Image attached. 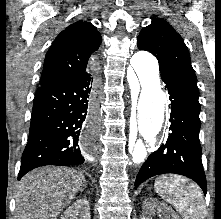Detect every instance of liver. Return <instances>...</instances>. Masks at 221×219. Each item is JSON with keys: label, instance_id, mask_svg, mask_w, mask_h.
I'll return each mask as SVG.
<instances>
[{"label": "liver", "instance_id": "obj_1", "mask_svg": "<svg viewBox=\"0 0 221 219\" xmlns=\"http://www.w3.org/2000/svg\"><path fill=\"white\" fill-rule=\"evenodd\" d=\"M85 186L81 172L44 167L26 174L15 194L16 219H57Z\"/></svg>", "mask_w": 221, "mask_h": 219}]
</instances>
